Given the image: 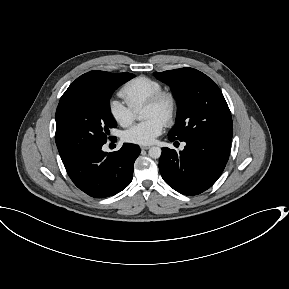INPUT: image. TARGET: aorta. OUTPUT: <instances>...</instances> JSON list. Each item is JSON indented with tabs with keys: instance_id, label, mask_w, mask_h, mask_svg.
<instances>
[{
	"instance_id": "1",
	"label": "aorta",
	"mask_w": 289,
	"mask_h": 289,
	"mask_svg": "<svg viewBox=\"0 0 289 289\" xmlns=\"http://www.w3.org/2000/svg\"><path fill=\"white\" fill-rule=\"evenodd\" d=\"M138 119L141 120L142 117L139 116ZM161 152H162V150H161L160 147L153 146V147H151V148L149 149L148 154H149V156H150L151 158L157 159V158H159V157L161 156Z\"/></svg>"
}]
</instances>
